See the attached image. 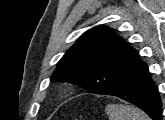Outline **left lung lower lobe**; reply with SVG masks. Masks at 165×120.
Segmentation results:
<instances>
[{
    "instance_id": "0a47b994",
    "label": "left lung lower lobe",
    "mask_w": 165,
    "mask_h": 120,
    "mask_svg": "<svg viewBox=\"0 0 165 120\" xmlns=\"http://www.w3.org/2000/svg\"><path fill=\"white\" fill-rule=\"evenodd\" d=\"M108 95L119 97L136 105L152 120H162V102L159 92L150 76L147 64L139 59L137 53L121 84Z\"/></svg>"
}]
</instances>
